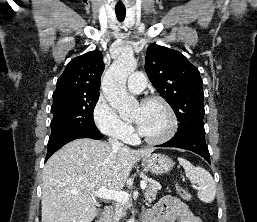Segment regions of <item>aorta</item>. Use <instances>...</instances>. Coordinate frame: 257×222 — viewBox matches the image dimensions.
<instances>
[{
	"instance_id": "aorta-1",
	"label": "aorta",
	"mask_w": 257,
	"mask_h": 222,
	"mask_svg": "<svg viewBox=\"0 0 257 222\" xmlns=\"http://www.w3.org/2000/svg\"><path fill=\"white\" fill-rule=\"evenodd\" d=\"M136 67L137 61L132 51H123L105 72L101 81L104 97L121 116L130 113L138 106L136 98L130 96L126 89L127 78ZM128 222L135 221L130 219Z\"/></svg>"
}]
</instances>
